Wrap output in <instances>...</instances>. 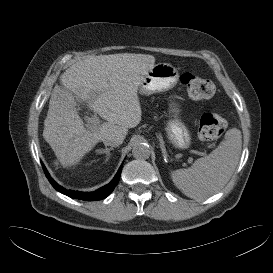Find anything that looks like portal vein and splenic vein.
Here are the masks:
<instances>
[{
    "instance_id": "1",
    "label": "portal vein and splenic vein",
    "mask_w": 273,
    "mask_h": 273,
    "mask_svg": "<svg viewBox=\"0 0 273 273\" xmlns=\"http://www.w3.org/2000/svg\"><path fill=\"white\" fill-rule=\"evenodd\" d=\"M90 125L88 126V129L91 131H95L99 128V118L97 117V115H93L90 118Z\"/></svg>"
}]
</instances>
